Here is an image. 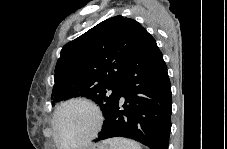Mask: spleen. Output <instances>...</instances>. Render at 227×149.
Instances as JSON below:
<instances>
[{
  "label": "spleen",
  "instance_id": "obj_1",
  "mask_svg": "<svg viewBox=\"0 0 227 149\" xmlns=\"http://www.w3.org/2000/svg\"><path fill=\"white\" fill-rule=\"evenodd\" d=\"M109 144L110 149H141L139 143L122 137H116L105 141Z\"/></svg>",
  "mask_w": 227,
  "mask_h": 149
}]
</instances>
